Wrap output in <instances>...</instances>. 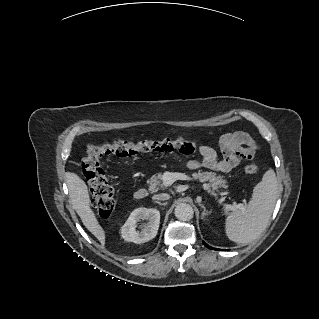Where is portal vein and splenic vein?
Masks as SVG:
<instances>
[{
  "mask_svg": "<svg viewBox=\"0 0 319 319\" xmlns=\"http://www.w3.org/2000/svg\"><path fill=\"white\" fill-rule=\"evenodd\" d=\"M178 179H188V177L181 173L165 172L162 176L163 186L168 187ZM228 208L229 210L243 209V205H228Z\"/></svg>",
  "mask_w": 319,
  "mask_h": 319,
  "instance_id": "obj_1",
  "label": "portal vein and splenic vein"
}]
</instances>
